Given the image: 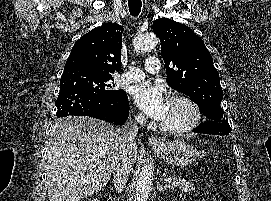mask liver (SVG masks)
I'll list each match as a JSON object with an SVG mask.
<instances>
[{
	"label": "liver",
	"mask_w": 271,
	"mask_h": 201,
	"mask_svg": "<svg viewBox=\"0 0 271 201\" xmlns=\"http://www.w3.org/2000/svg\"><path fill=\"white\" fill-rule=\"evenodd\" d=\"M115 126L90 117L68 116L55 121L47 144L49 201H79L109 181L118 142ZM138 150L132 148V162Z\"/></svg>",
	"instance_id": "1"
}]
</instances>
